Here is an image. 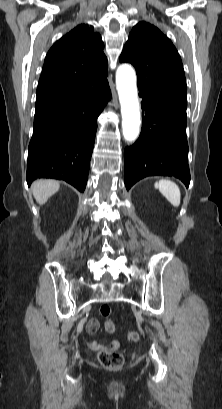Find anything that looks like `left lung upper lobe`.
I'll return each mask as SVG.
<instances>
[{
	"label": "left lung upper lobe",
	"instance_id": "1",
	"mask_svg": "<svg viewBox=\"0 0 222 409\" xmlns=\"http://www.w3.org/2000/svg\"><path fill=\"white\" fill-rule=\"evenodd\" d=\"M120 62L135 67L140 93L187 101L181 58L172 42L155 26L139 22L133 27Z\"/></svg>",
	"mask_w": 222,
	"mask_h": 409
}]
</instances>
